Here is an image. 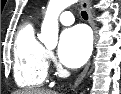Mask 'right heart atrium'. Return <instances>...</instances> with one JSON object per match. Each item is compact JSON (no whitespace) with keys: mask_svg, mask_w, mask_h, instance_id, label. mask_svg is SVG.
<instances>
[{"mask_svg":"<svg viewBox=\"0 0 121 94\" xmlns=\"http://www.w3.org/2000/svg\"><path fill=\"white\" fill-rule=\"evenodd\" d=\"M48 58L49 59H52L53 58V55L51 53H48Z\"/></svg>","mask_w":121,"mask_h":94,"instance_id":"d8ad5b80","label":"right heart atrium"}]
</instances>
